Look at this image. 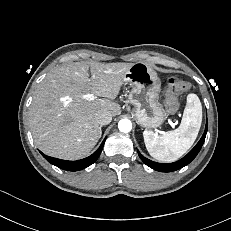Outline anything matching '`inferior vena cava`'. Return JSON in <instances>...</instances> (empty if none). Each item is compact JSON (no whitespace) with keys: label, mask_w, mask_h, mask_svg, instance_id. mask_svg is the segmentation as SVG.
<instances>
[{"label":"inferior vena cava","mask_w":231,"mask_h":231,"mask_svg":"<svg viewBox=\"0 0 231 231\" xmlns=\"http://www.w3.org/2000/svg\"><path fill=\"white\" fill-rule=\"evenodd\" d=\"M95 118L98 124L107 125L112 120V115L106 110H99L95 113Z\"/></svg>","instance_id":"obj_1"}]
</instances>
